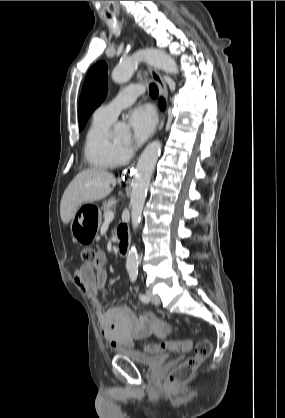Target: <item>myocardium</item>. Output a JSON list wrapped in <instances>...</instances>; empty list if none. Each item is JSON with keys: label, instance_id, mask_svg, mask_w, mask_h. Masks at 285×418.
<instances>
[{"label": "myocardium", "instance_id": "myocardium-1", "mask_svg": "<svg viewBox=\"0 0 285 418\" xmlns=\"http://www.w3.org/2000/svg\"><path fill=\"white\" fill-rule=\"evenodd\" d=\"M118 149H120L121 147H120V145H117V144H115V143H113Z\"/></svg>", "mask_w": 285, "mask_h": 418}]
</instances>
